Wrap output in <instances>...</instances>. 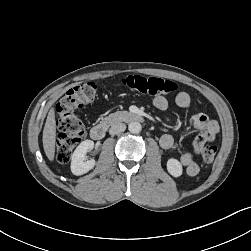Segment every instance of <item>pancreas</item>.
<instances>
[{
	"mask_svg": "<svg viewBox=\"0 0 251 251\" xmlns=\"http://www.w3.org/2000/svg\"><path fill=\"white\" fill-rule=\"evenodd\" d=\"M125 113H126L125 111H117L103 118L100 123L104 126H110L120 121Z\"/></svg>",
	"mask_w": 251,
	"mask_h": 251,
	"instance_id": "1",
	"label": "pancreas"
}]
</instances>
